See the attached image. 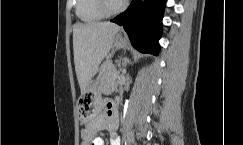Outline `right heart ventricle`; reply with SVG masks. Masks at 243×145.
Instances as JSON below:
<instances>
[{
	"label": "right heart ventricle",
	"instance_id": "obj_1",
	"mask_svg": "<svg viewBox=\"0 0 243 145\" xmlns=\"http://www.w3.org/2000/svg\"><path fill=\"white\" fill-rule=\"evenodd\" d=\"M75 10L78 19L86 24L96 23L105 17L96 0H76Z\"/></svg>",
	"mask_w": 243,
	"mask_h": 145
}]
</instances>
